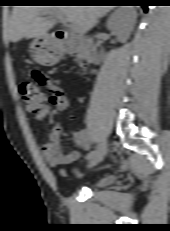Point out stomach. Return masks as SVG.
I'll use <instances>...</instances> for the list:
<instances>
[{"label":"stomach","instance_id":"0dacf381","mask_svg":"<svg viewBox=\"0 0 170 231\" xmlns=\"http://www.w3.org/2000/svg\"><path fill=\"white\" fill-rule=\"evenodd\" d=\"M32 58L42 65H53L59 60V53L47 36L35 38L30 44Z\"/></svg>","mask_w":170,"mask_h":231}]
</instances>
